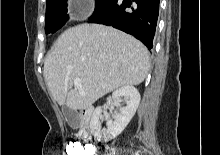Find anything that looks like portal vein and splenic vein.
<instances>
[{"label":"portal vein and splenic vein","instance_id":"obj_1","mask_svg":"<svg viewBox=\"0 0 220 155\" xmlns=\"http://www.w3.org/2000/svg\"><path fill=\"white\" fill-rule=\"evenodd\" d=\"M73 82H74V86L79 89L80 93L82 95H85L84 91L82 90L81 80L79 78H75Z\"/></svg>","mask_w":220,"mask_h":155}]
</instances>
